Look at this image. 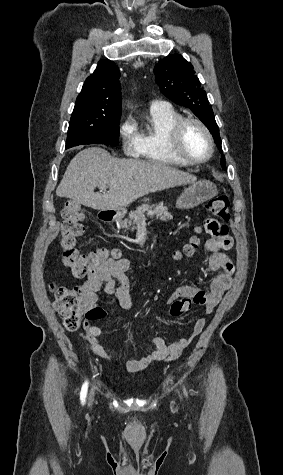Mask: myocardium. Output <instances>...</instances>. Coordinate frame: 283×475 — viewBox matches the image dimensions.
<instances>
[{
	"label": "myocardium",
	"instance_id": "obj_1",
	"mask_svg": "<svg viewBox=\"0 0 283 475\" xmlns=\"http://www.w3.org/2000/svg\"><path fill=\"white\" fill-rule=\"evenodd\" d=\"M188 124H195L197 125L204 135L206 136L208 143H209V152L205 157L202 158H190V157H178V158H173L169 156L166 151H165V141H162L159 144V152L162 158L164 159L165 162H206L210 160L214 153H215V142L214 138L209 131V129L206 127V125L199 119L193 118V117H182L176 122H174L168 129L167 131V137L166 141L179 144L182 140V135L184 128Z\"/></svg>",
	"mask_w": 283,
	"mask_h": 475
}]
</instances>
